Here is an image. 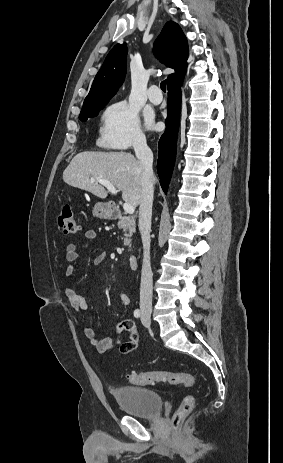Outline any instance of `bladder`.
Here are the masks:
<instances>
[{
  "label": "bladder",
  "instance_id": "1",
  "mask_svg": "<svg viewBox=\"0 0 283 463\" xmlns=\"http://www.w3.org/2000/svg\"><path fill=\"white\" fill-rule=\"evenodd\" d=\"M113 396L120 408L131 416L154 419L161 414L162 399L151 389L121 386L114 389Z\"/></svg>",
  "mask_w": 283,
  "mask_h": 463
}]
</instances>
